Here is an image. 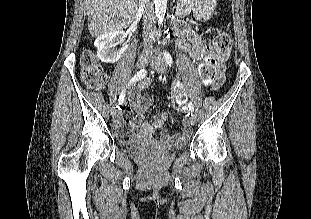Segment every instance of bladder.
Segmentation results:
<instances>
[{
	"instance_id": "31cf9c89",
	"label": "bladder",
	"mask_w": 311,
	"mask_h": 219,
	"mask_svg": "<svg viewBox=\"0 0 311 219\" xmlns=\"http://www.w3.org/2000/svg\"><path fill=\"white\" fill-rule=\"evenodd\" d=\"M184 146V143H178L175 145L176 148H182Z\"/></svg>"
}]
</instances>
